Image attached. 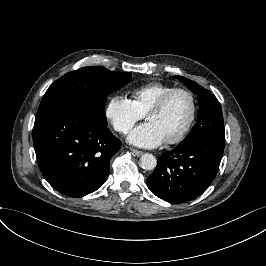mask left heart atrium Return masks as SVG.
Segmentation results:
<instances>
[{"instance_id": "39dd6f15", "label": "left heart atrium", "mask_w": 266, "mask_h": 266, "mask_svg": "<svg viewBox=\"0 0 266 266\" xmlns=\"http://www.w3.org/2000/svg\"><path fill=\"white\" fill-rule=\"evenodd\" d=\"M128 139L130 142L142 147H155L165 141L159 129L150 122L137 126L129 134Z\"/></svg>"}]
</instances>
